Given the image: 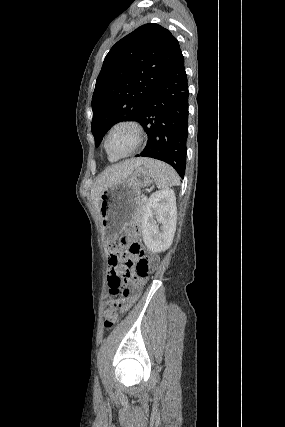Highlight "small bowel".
Here are the masks:
<instances>
[{"label": "small bowel", "mask_w": 285, "mask_h": 427, "mask_svg": "<svg viewBox=\"0 0 285 427\" xmlns=\"http://www.w3.org/2000/svg\"><path fill=\"white\" fill-rule=\"evenodd\" d=\"M126 257H127L126 254H122L119 258L114 257V256H110V258H109L108 275H111V274H122L123 270L119 266V260H124V259H126ZM157 261H158V259L156 257H154V263H157ZM133 301L126 302V304L122 308V311L127 310L131 306V304L133 303Z\"/></svg>", "instance_id": "obj_1"}]
</instances>
